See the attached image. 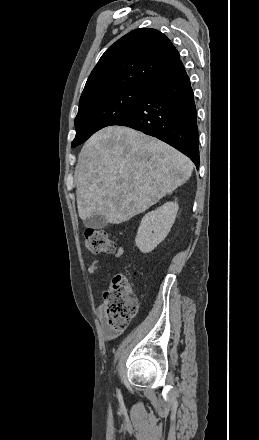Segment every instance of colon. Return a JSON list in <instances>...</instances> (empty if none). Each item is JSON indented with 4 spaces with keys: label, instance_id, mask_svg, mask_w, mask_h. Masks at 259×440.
<instances>
[{
    "label": "colon",
    "instance_id": "1",
    "mask_svg": "<svg viewBox=\"0 0 259 440\" xmlns=\"http://www.w3.org/2000/svg\"><path fill=\"white\" fill-rule=\"evenodd\" d=\"M85 245L93 254H106L115 251V243L106 231L88 229L85 232ZM103 307L108 324L122 330L128 326L137 312V303L132 298V287L121 274L113 277L110 288L104 293Z\"/></svg>",
    "mask_w": 259,
    "mask_h": 440
}]
</instances>
